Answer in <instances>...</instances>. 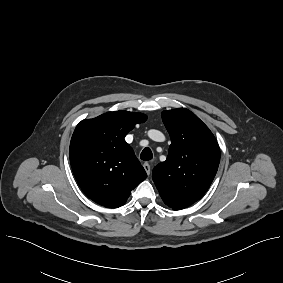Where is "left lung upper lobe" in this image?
<instances>
[{
	"label": "left lung upper lobe",
	"instance_id": "obj_1",
	"mask_svg": "<svg viewBox=\"0 0 283 283\" xmlns=\"http://www.w3.org/2000/svg\"><path fill=\"white\" fill-rule=\"evenodd\" d=\"M171 145L166 161L152 178L164 203L173 210L199 200L211 185L220 162V149L209 128L185 108L162 112Z\"/></svg>",
	"mask_w": 283,
	"mask_h": 283
}]
</instances>
